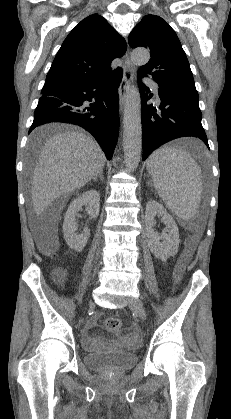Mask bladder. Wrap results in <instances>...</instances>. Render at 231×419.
<instances>
[{"instance_id": "obj_1", "label": "bladder", "mask_w": 231, "mask_h": 419, "mask_svg": "<svg viewBox=\"0 0 231 419\" xmlns=\"http://www.w3.org/2000/svg\"><path fill=\"white\" fill-rule=\"evenodd\" d=\"M137 362V354L124 350L88 353L84 356V364L90 369L110 368L121 371L134 366Z\"/></svg>"}]
</instances>
